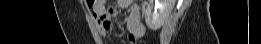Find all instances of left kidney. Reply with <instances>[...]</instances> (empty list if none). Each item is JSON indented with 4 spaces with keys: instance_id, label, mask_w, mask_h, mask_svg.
Returning <instances> with one entry per match:
<instances>
[{
    "instance_id": "1",
    "label": "left kidney",
    "mask_w": 261,
    "mask_h": 44,
    "mask_svg": "<svg viewBox=\"0 0 261 44\" xmlns=\"http://www.w3.org/2000/svg\"><path fill=\"white\" fill-rule=\"evenodd\" d=\"M175 4V0H160L158 11H152V6L148 5L145 11V21L149 29L158 30L170 15Z\"/></svg>"
}]
</instances>
